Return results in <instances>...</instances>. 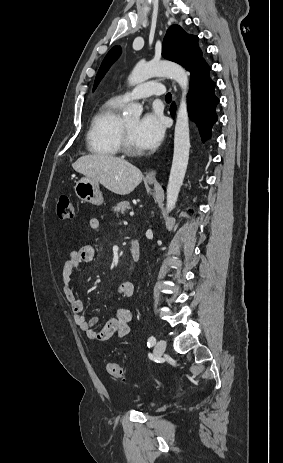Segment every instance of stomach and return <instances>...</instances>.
<instances>
[{"instance_id": "0dacf381", "label": "stomach", "mask_w": 283, "mask_h": 463, "mask_svg": "<svg viewBox=\"0 0 283 463\" xmlns=\"http://www.w3.org/2000/svg\"><path fill=\"white\" fill-rule=\"evenodd\" d=\"M151 183V182H149ZM76 196L87 203L101 205L103 203L102 192L100 191L99 182L90 178H81L74 187Z\"/></svg>"}]
</instances>
